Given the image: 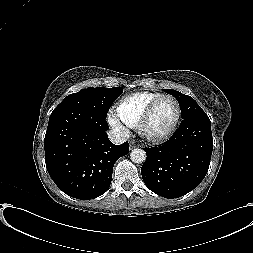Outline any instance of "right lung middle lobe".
<instances>
[{"mask_svg": "<svg viewBox=\"0 0 253 253\" xmlns=\"http://www.w3.org/2000/svg\"><path fill=\"white\" fill-rule=\"evenodd\" d=\"M123 92L121 87L87 88L68 95L54 110L80 108L99 117L106 118L107 112L116 98Z\"/></svg>", "mask_w": 253, "mask_h": 253, "instance_id": "1", "label": "right lung middle lobe"}]
</instances>
